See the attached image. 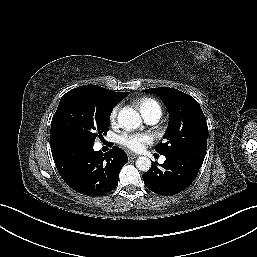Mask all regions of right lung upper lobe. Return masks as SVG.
I'll list each match as a JSON object with an SVG mask.
<instances>
[{"mask_svg":"<svg viewBox=\"0 0 257 257\" xmlns=\"http://www.w3.org/2000/svg\"><path fill=\"white\" fill-rule=\"evenodd\" d=\"M86 86L102 88V87L97 86V85H86ZM102 89H105V88H102ZM105 90H107L117 102L121 101L122 99H124L129 94V92H115V91L108 90V89H105Z\"/></svg>","mask_w":257,"mask_h":257,"instance_id":"cb5924a9","label":"right lung upper lobe"}]
</instances>
